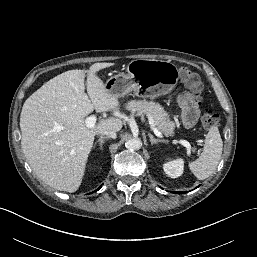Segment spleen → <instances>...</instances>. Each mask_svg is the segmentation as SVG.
<instances>
[{
  "instance_id": "spleen-1",
  "label": "spleen",
  "mask_w": 257,
  "mask_h": 257,
  "mask_svg": "<svg viewBox=\"0 0 257 257\" xmlns=\"http://www.w3.org/2000/svg\"><path fill=\"white\" fill-rule=\"evenodd\" d=\"M223 142L217 127L213 126L205 138L200 156L189 163V168L195 177L204 180L212 175L221 159Z\"/></svg>"
}]
</instances>
